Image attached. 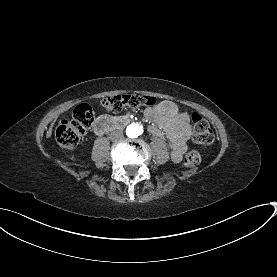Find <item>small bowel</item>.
Listing matches in <instances>:
<instances>
[{
    "label": "small bowel",
    "mask_w": 277,
    "mask_h": 277,
    "mask_svg": "<svg viewBox=\"0 0 277 277\" xmlns=\"http://www.w3.org/2000/svg\"><path fill=\"white\" fill-rule=\"evenodd\" d=\"M145 116L153 122L149 132L160 140H168L172 160L180 162L187 149L186 142L192 135L189 116L180 112L170 100H163L147 108Z\"/></svg>",
    "instance_id": "1"
}]
</instances>
